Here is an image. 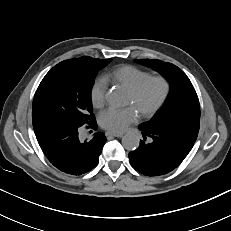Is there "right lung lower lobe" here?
<instances>
[{
    "mask_svg": "<svg viewBox=\"0 0 231 231\" xmlns=\"http://www.w3.org/2000/svg\"><path fill=\"white\" fill-rule=\"evenodd\" d=\"M96 129V121L89 125ZM78 127L61 123H44L34 127L37 141L48 160L59 170L81 175L93 169L106 142L98 132L90 141L79 140Z\"/></svg>",
    "mask_w": 231,
    "mask_h": 231,
    "instance_id": "98d812e1",
    "label": "right lung lower lobe"
}]
</instances>
